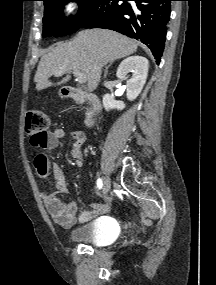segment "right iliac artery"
<instances>
[{"mask_svg": "<svg viewBox=\"0 0 216 285\" xmlns=\"http://www.w3.org/2000/svg\"><path fill=\"white\" fill-rule=\"evenodd\" d=\"M102 186H103L102 179H101V178H98V180H97V187H98V189H101Z\"/></svg>", "mask_w": 216, "mask_h": 285, "instance_id": "obj_1", "label": "right iliac artery"}]
</instances>
